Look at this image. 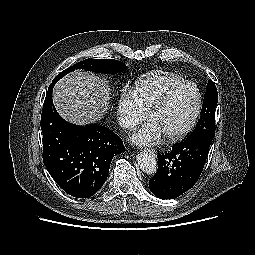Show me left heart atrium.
I'll return each mask as SVG.
<instances>
[{
	"mask_svg": "<svg viewBox=\"0 0 255 255\" xmlns=\"http://www.w3.org/2000/svg\"><path fill=\"white\" fill-rule=\"evenodd\" d=\"M162 136L159 126L153 120H149L130 135V141L136 145H149L160 141Z\"/></svg>",
	"mask_w": 255,
	"mask_h": 255,
	"instance_id": "1",
	"label": "left heart atrium"
}]
</instances>
